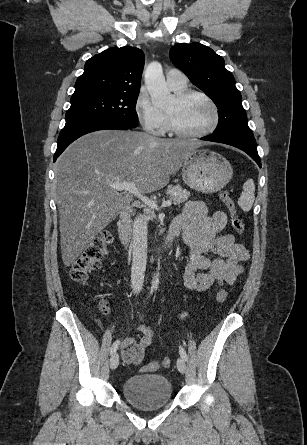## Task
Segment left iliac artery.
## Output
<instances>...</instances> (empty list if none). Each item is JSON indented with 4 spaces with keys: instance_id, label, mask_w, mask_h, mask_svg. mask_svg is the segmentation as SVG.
I'll return each mask as SVG.
<instances>
[{
    "instance_id": "obj_1",
    "label": "left iliac artery",
    "mask_w": 307,
    "mask_h": 445,
    "mask_svg": "<svg viewBox=\"0 0 307 445\" xmlns=\"http://www.w3.org/2000/svg\"><path fill=\"white\" fill-rule=\"evenodd\" d=\"M179 353H180V356L186 361L187 360V354H186V352H185V350H184V348L182 346L179 347Z\"/></svg>"
}]
</instances>
